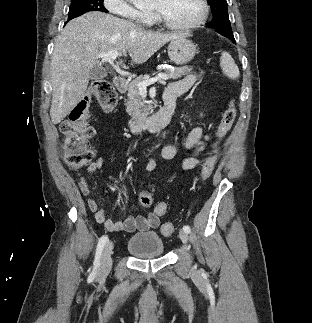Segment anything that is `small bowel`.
Returning <instances> with one entry per match:
<instances>
[{
  "mask_svg": "<svg viewBox=\"0 0 312 323\" xmlns=\"http://www.w3.org/2000/svg\"><path fill=\"white\" fill-rule=\"evenodd\" d=\"M198 80L197 73H191L182 79L171 83L164 95L175 96V99L187 92ZM210 137L205 134L200 127H196L188 134L184 150L182 153L183 168L187 171L193 170L202 162V154L205 151L207 142ZM180 152L174 145H165L161 149V156L165 160H174L179 156ZM156 167L155 158L152 155L148 156L146 169L153 171ZM101 168V160H96L90 163L87 167L88 172L95 173ZM78 187L83 196H89L91 193L89 182L86 178H81L78 182ZM89 209L94 213L98 223L103 224L107 231H126L129 233L135 231H147L155 229L160 224V218L156 216L154 210L146 215H130L121 222H114L106 217V212L100 208L97 201L93 198L87 200Z\"/></svg>",
  "mask_w": 312,
  "mask_h": 323,
  "instance_id": "1",
  "label": "small bowel"
}]
</instances>
